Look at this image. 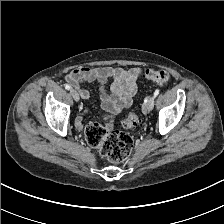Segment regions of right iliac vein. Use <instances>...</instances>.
<instances>
[{"label":"right iliac vein","mask_w":224,"mask_h":224,"mask_svg":"<svg viewBox=\"0 0 224 224\" xmlns=\"http://www.w3.org/2000/svg\"><path fill=\"white\" fill-rule=\"evenodd\" d=\"M70 93H71L73 99H74L76 102H78V101L80 100L79 93H78L76 90L72 89V90L70 91Z\"/></svg>","instance_id":"1"}]
</instances>
